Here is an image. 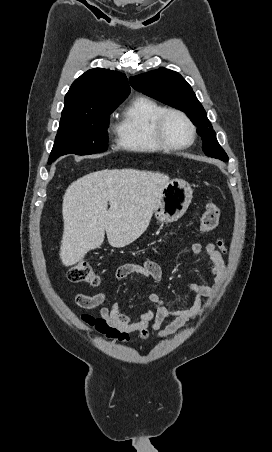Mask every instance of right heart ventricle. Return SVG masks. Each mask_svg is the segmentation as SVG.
I'll list each match as a JSON object with an SVG mask.
<instances>
[{"mask_svg":"<svg viewBox=\"0 0 272 452\" xmlns=\"http://www.w3.org/2000/svg\"><path fill=\"white\" fill-rule=\"evenodd\" d=\"M164 109L146 96L137 97L124 110L116 126L118 144L122 148L141 153L164 151L154 132V122Z\"/></svg>","mask_w":272,"mask_h":452,"instance_id":"right-heart-ventricle-1","label":"right heart ventricle"}]
</instances>
